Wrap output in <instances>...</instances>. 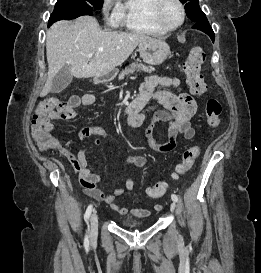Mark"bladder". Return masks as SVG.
<instances>
[{"label":"bladder","instance_id":"31cf9c89","mask_svg":"<svg viewBox=\"0 0 261 273\" xmlns=\"http://www.w3.org/2000/svg\"><path fill=\"white\" fill-rule=\"evenodd\" d=\"M121 223L126 227H137L142 225L143 222L132 217H126L122 219Z\"/></svg>","mask_w":261,"mask_h":273}]
</instances>
